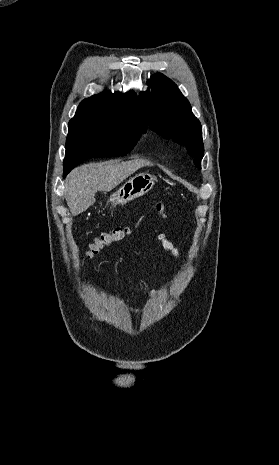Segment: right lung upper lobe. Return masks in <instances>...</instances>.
<instances>
[{"label": "right lung upper lobe", "mask_w": 279, "mask_h": 465, "mask_svg": "<svg viewBox=\"0 0 279 465\" xmlns=\"http://www.w3.org/2000/svg\"><path fill=\"white\" fill-rule=\"evenodd\" d=\"M106 123H133L145 131L146 121L135 92L126 94L104 91L83 100L69 121L68 128H85Z\"/></svg>", "instance_id": "obj_1"}]
</instances>
